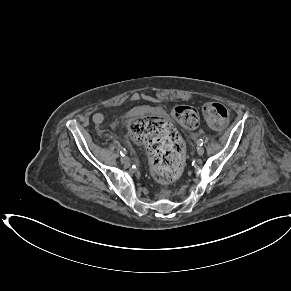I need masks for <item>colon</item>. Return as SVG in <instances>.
<instances>
[{
    "mask_svg": "<svg viewBox=\"0 0 291 291\" xmlns=\"http://www.w3.org/2000/svg\"><path fill=\"white\" fill-rule=\"evenodd\" d=\"M172 115L185 128L194 129L199 125V114L191 106H176ZM202 115L214 129H222L228 122V111L219 103L204 104ZM130 130L135 140L147 147L155 180L168 184L179 179L184 168L185 147L175 128L161 117L145 116L132 121Z\"/></svg>",
    "mask_w": 291,
    "mask_h": 291,
    "instance_id": "5ec220e1",
    "label": "colon"
}]
</instances>
